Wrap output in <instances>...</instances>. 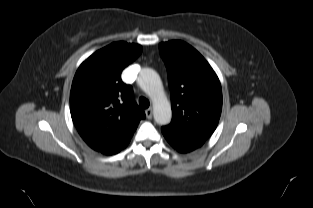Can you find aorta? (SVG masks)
<instances>
[{
  "mask_svg": "<svg viewBox=\"0 0 313 208\" xmlns=\"http://www.w3.org/2000/svg\"><path fill=\"white\" fill-rule=\"evenodd\" d=\"M140 88L148 94L153 101L154 120L159 125L170 123L172 110L168 101L161 79L152 69H143L137 79Z\"/></svg>",
  "mask_w": 313,
  "mask_h": 208,
  "instance_id": "1",
  "label": "aorta"
}]
</instances>
